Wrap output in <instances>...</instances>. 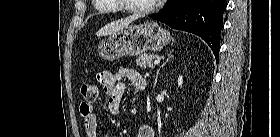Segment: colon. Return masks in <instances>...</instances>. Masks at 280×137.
Masks as SVG:
<instances>
[{"instance_id": "obj_1", "label": "colon", "mask_w": 280, "mask_h": 137, "mask_svg": "<svg viewBox=\"0 0 280 137\" xmlns=\"http://www.w3.org/2000/svg\"><path fill=\"white\" fill-rule=\"evenodd\" d=\"M80 93L85 100L92 102L98 97V88L93 83L83 84Z\"/></svg>"}]
</instances>
